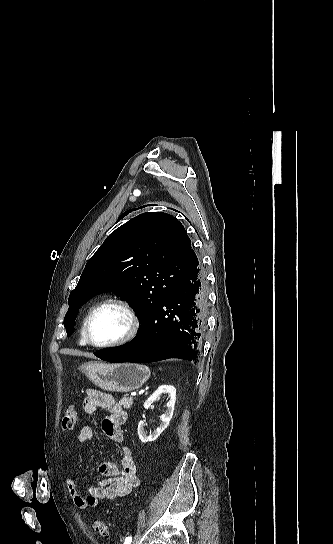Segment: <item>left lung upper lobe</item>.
Listing matches in <instances>:
<instances>
[{"label":"left lung upper lobe","instance_id":"obj_1","mask_svg":"<svg viewBox=\"0 0 333 544\" xmlns=\"http://www.w3.org/2000/svg\"><path fill=\"white\" fill-rule=\"evenodd\" d=\"M198 264L184 226L175 217L162 212L140 214L113 231L87 262L69 296L64 318L67 336L73 332L80 306L105 291L128 297L143 322Z\"/></svg>","mask_w":333,"mask_h":544}]
</instances>
